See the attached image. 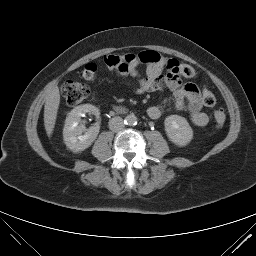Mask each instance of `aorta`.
I'll use <instances>...</instances> for the list:
<instances>
[{
  "mask_svg": "<svg viewBox=\"0 0 256 256\" xmlns=\"http://www.w3.org/2000/svg\"><path fill=\"white\" fill-rule=\"evenodd\" d=\"M124 122L126 125L134 126L137 124V117L134 114H129L125 117Z\"/></svg>",
  "mask_w": 256,
  "mask_h": 256,
  "instance_id": "aorta-1",
  "label": "aorta"
}]
</instances>
